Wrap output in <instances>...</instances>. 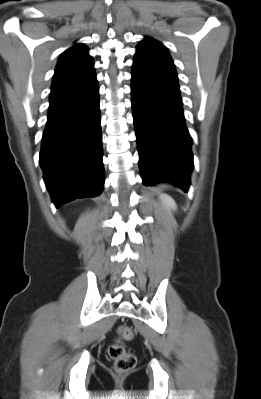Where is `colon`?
I'll list each match as a JSON object with an SVG mask.
<instances>
[{"label":"colon","instance_id":"5ec220e1","mask_svg":"<svg viewBox=\"0 0 261 399\" xmlns=\"http://www.w3.org/2000/svg\"><path fill=\"white\" fill-rule=\"evenodd\" d=\"M118 334L119 338L124 341H130L134 338V330L130 326H120L118 328ZM108 353L114 361V367L117 372H127L136 364V356L125 349L119 342L111 344Z\"/></svg>","mask_w":261,"mask_h":399}]
</instances>
